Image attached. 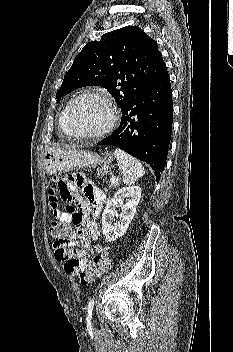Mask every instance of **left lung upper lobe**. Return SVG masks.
Instances as JSON below:
<instances>
[{
  "label": "left lung upper lobe",
  "mask_w": 233,
  "mask_h": 352,
  "mask_svg": "<svg viewBox=\"0 0 233 352\" xmlns=\"http://www.w3.org/2000/svg\"><path fill=\"white\" fill-rule=\"evenodd\" d=\"M166 70L158 45L143 30L126 26L92 41L76 56L56 93L83 86L106 88L121 110Z\"/></svg>",
  "instance_id": "1"
}]
</instances>
